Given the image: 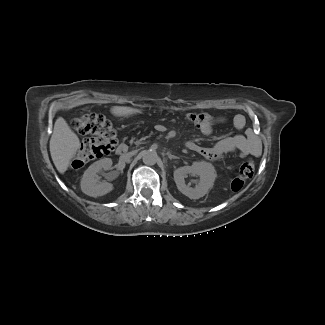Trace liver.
I'll return each instance as SVG.
<instances>
[{"label":"liver","instance_id":"1","mask_svg":"<svg viewBox=\"0 0 325 325\" xmlns=\"http://www.w3.org/2000/svg\"><path fill=\"white\" fill-rule=\"evenodd\" d=\"M140 109L127 106H113L111 113L115 116H131L141 113ZM80 148L78 136L71 130L63 118H58L54 124L53 134L50 139V154L53 163L61 174H63Z\"/></svg>","mask_w":325,"mask_h":325}]
</instances>
